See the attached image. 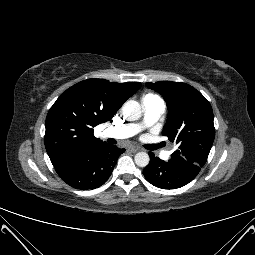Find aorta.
<instances>
[{"label": "aorta", "mask_w": 255, "mask_h": 255, "mask_svg": "<svg viewBox=\"0 0 255 255\" xmlns=\"http://www.w3.org/2000/svg\"><path fill=\"white\" fill-rule=\"evenodd\" d=\"M123 116L129 121L138 120L142 115L141 106L137 101L129 100L122 107ZM135 164L139 167H146L150 157L146 152H138L134 157Z\"/></svg>", "instance_id": "1"}]
</instances>
